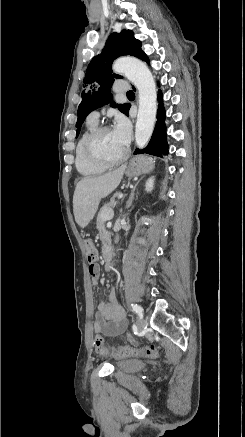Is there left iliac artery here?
<instances>
[{
	"mask_svg": "<svg viewBox=\"0 0 245 437\" xmlns=\"http://www.w3.org/2000/svg\"><path fill=\"white\" fill-rule=\"evenodd\" d=\"M131 307H132V309H133V311H134L135 313H137L139 316H142V314H143V308H142L141 306L132 303V304H131Z\"/></svg>",
	"mask_w": 245,
	"mask_h": 437,
	"instance_id": "left-iliac-artery-1",
	"label": "left iliac artery"
}]
</instances>
